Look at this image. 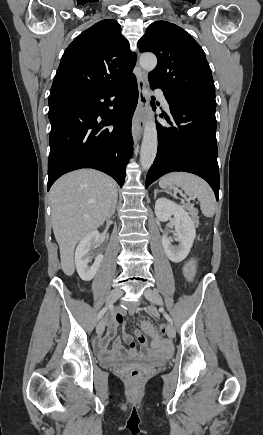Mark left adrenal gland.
<instances>
[{"mask_svg":"<svg viewBox=\"0 0 263 435\" xmlns=\"http://www.w3.org/2000/svg\"><path fill=\"white\" fill-rule=\"evenodd\" d=\"M157 192H158V190L155 189V190H154V198H156Z\"/></svg>","mask_w":263,"mask_h":435,"instance_id":"left-adrenal-gland-1","label":"left adrenal gland"}]
</instances>
